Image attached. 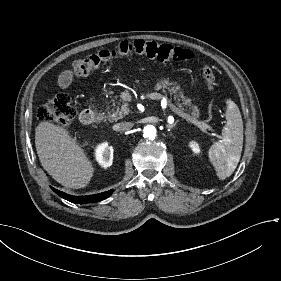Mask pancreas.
<instances>
[{
    "label": "pancreas",
    "instance_id": "pancreas-1",
    "mask_svg": "<svg viewBox=\"0 0 281 281\" xmlns=\"http://www.w3.org/2000/svg\"><path fill=\"white\" fill-rule=\"evenodd\" d=\"M160 85L162 88L167 89L171 95L174 94L173 99L177 100L176 105H178V107H177L178 109L184 110V108H182V104L179 103L180 100H182L184 105L192 107L191 116L193 117V119H197L199 117V110H198L197 106H193L190 102H188V100L185 99V97L183 96V94L181 92L178 93V91H180V86H173L170 88L169 86H171L172 83H170L167 80H162L160 82ZM126 107H127L126 105H123L121 107V109L118 107L115 111H113L112 114L107 116L108 120L109 121H118L119 119H122L124 117V115L128 114L127 111L126 112L123 111V108H126Z\"/></svg>",
    "mask_w": 281,
    "mask_h": 281
}]
</instances>
